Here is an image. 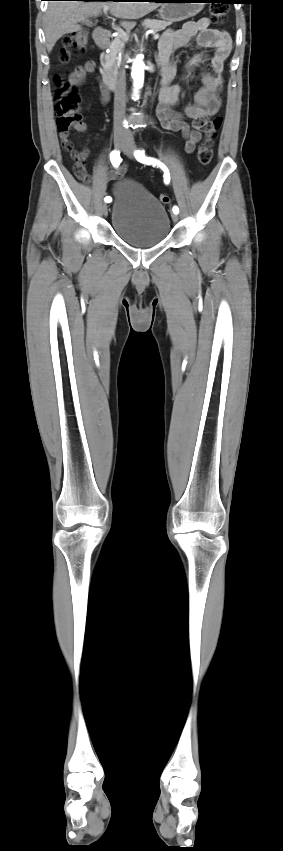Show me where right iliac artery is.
Wrapping results in <instances>:
<instances>
[{"label": "right iliac artery", "mask_w": 283, "mask_h": 851, "mask_svg": "<svg viewBox=\"0 0 283 851\" xmlns=\"http://www.w3.org/2000/svg\"><path fill=\"white\" fill-rule=\"evenodd\" d=\"M110 160H111L112 165H113L115 168H118L119 164H120V163H121V161H122V159H121V157H120V152H119V151H116V150L112 151V152L110 153ZM104 200H105V202H108V203H109V202H111L112 198H111L110 196H106Z\"/></svg>", "instance_id": "1"}]
</instances>
